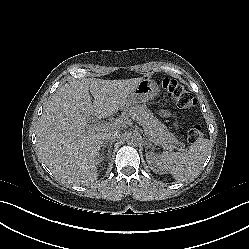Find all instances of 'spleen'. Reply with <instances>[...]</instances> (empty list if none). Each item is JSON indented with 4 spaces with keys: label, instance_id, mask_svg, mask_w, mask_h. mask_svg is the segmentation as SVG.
<instances>
[{
    "label": "spleen",
    "instance_id": "obj_1",
    "mask_svg": "<svg viewBox=\"0 0 249 249\" xmlns=\"http://www.w3.org/2000/svg\"><path fill=\"white\" fill-rule=\"evenodd\" d=\"M211 144L208 139L194 142L187 151L164 152L157 156L161 168L171 174L199 170L205 162Z\"/></svg>",
    "mask_w": 249,
    "mask_h": 249
}]
</instances>
